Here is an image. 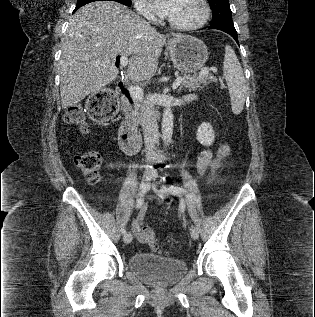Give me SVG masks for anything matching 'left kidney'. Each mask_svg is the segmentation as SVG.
Listing matches in <instances>:
<instances>
[{"label": "left kidney", "mask_w": 315, "mask_h": 317, "mask_svg": "<svg viewBox=\"0 0 315 317\" xmlns=\"http://www.w3.org/2000/svg\"><path fill=\"white\" fill-rule=\"evenodd\" d=\"M197 140L204 146H210L214 142V131L209 123H202L196 133Z\"/></svg>", "instance_id": "5707ae66"}]
</instances>
